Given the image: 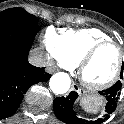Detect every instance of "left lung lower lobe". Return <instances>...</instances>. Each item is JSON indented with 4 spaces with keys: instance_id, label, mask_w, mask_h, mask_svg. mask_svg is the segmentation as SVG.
<instances>
[{
    "instance_id": "left-lung-lower-lobe-1",
    "label": "left lung lower lobe",
    "mask_w": 124,
    "mask_h": 124,
    "mask_svg": "<svg viewBox=\"0 0 124 124\" xmlns=\"http://www.w3.org/2000/svg\"><path fill=\"white\" fill-rule=\"evenodd\" d=\"M121 87L122 83L117 81L116 84L109 89L99 92L107 100L103 118H99L95 121H87L79 118L74 110V103L78 97L76 91L70 92V94L66 97L63 96L55 98L53 102L55 115L59 120L66 124H101L115 111L121 94Z\"/></svg>"
}]
</instances>
